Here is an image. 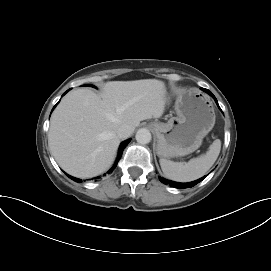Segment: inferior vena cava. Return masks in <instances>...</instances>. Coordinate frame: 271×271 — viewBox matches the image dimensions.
Masks as SVG:
<instances>
[{"mask_svg": "<svg viewBox=\"0 0 271 271\" xmlns=\"http://www.w3.org/2000/svg\"><path fill=\"white\" fill-rule=\"evenodd\" d=\"M134 129L128 125H123L117 130L119 138H127L133 133Z\"/></svg>", "mask_w": 271, "mask_h": 271, "instance_id": "inferior-vena-cava-1", "label": "inferior vena cava"}]
</instances>
